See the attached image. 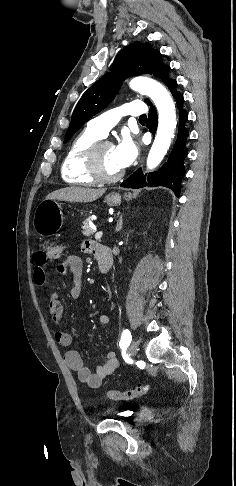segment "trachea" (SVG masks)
Instances as JSON below:
<instances>
[{
  "instance_id": "1",
  "label": "trachea",
  "mask_w": 236,
  "mask_h": 486,
  "mask_svg": "<svg viewBox=\"0 0 236 486\" xmlns=\"http://www.w3.org/2000/svg\"><path fill=\"white\" fill-rule=\"evenodd\" d=\"M139 119H140V120H146V115H142V116H140V118H139Z\"/></svg>"
}]
</instances>
